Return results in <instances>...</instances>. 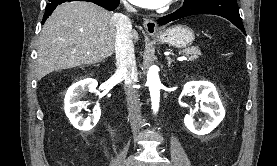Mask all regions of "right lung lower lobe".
<instances>
[{
	"label": "right lung lower lobe",
	"instance_id": "right-lung-lower-lobe-1",
	"mask_svg": "<svg viewBox=\"0 0 277 166\" xmlns=\"http://www.w3.org/2000/svg\"><path fill=\"white\" fill-rule=\"evenodd\" d=\"M66 1H88L93 2L105 9L114 10L119 5V0H48L45 14L43 16L42 24L46 21L48 16L51 15L52 11L56 8L57 5L64 3Z\"/></svg>",
	"mask_w": 277,
	"mask_h": 166
}]
</instances>
